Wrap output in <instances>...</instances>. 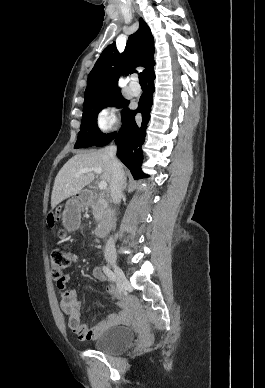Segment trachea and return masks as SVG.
<instances>
[{"instance_id": "3493384b", "label": "trachea", "mask_w": 265, "mask_h": 388, "mask_svg": "<svg viewBox=\"0 0 265 388\" xmlns=\"http://www.w3.org/2000/svg\"><path fill=\"white\" fill-rule=\"evenodd\" d=\"M140 85H147V77L144 73H139Z\"/></svg>"}]
</instances>
